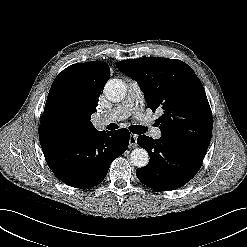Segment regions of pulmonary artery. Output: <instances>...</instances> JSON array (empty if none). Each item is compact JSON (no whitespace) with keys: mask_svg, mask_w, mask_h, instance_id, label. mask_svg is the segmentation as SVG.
<instances>
[{"mask_svg":"<svg viewBox=\"0 0 247 247\" xmlns=\"http://www.w3.org/2000/svg\"><path fill=\"white\" fill-rule=\"evenodd\" d=\"M143 101L144 95L140 85L137 82H131L125 99L103 115L99 119V123L106 124L112 121H120L126 119L130 115H134L136 119L150 127V135L158 140L162 137V132L159 128L150 126L149 117L143 113Z\"/></svg>","mask_w":247,"mask_h":247,"instance_id":"pulmonary-artery-1","label":"pulmonary artery"}]
</instances>
